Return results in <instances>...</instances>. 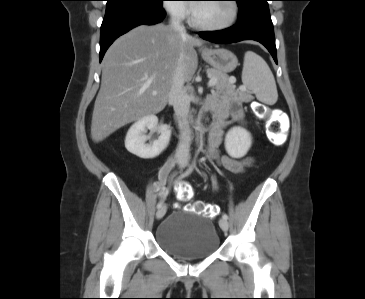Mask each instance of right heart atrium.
Instances as JSON below:
<instances>
[{
	"mask_svg": "<svg viewBox=\"0 0 365 299\" xmlns=\"http://www.w3.org/2000/svg\"><path fill=\"white\" fill-rule=\"evenodd\" d=\"M164 7L176 20H184L189 15V9L183 0H166Z\"/></svg>",
	"mask_w": 365,
	"mask_h": 299,
	"instance_id": "obj_1",
	"label": "right heart atrium"
}]
</instances>
